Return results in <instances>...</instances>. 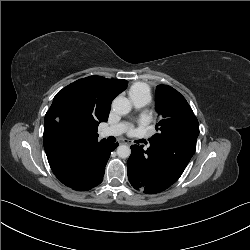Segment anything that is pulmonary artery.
<instances>
[{"label":"pulmonary artery","instance_id":"e3ab8cb5","mask_svg":"<svg viewBox=\"0 0 250 250\" xmlns=\"http://www.w3.org/2000/svg\"><path fill=\"white\" fill-rule=\"evenodd\" d=\"M132 103L136 108L143 107L147 104V101L144 99H135L132 100ZM126 130V125L124 123H118L109 127L104 128L101 131L102 137H109V136H119L124 133Z\"/></svg>","mask_w":250,"mask_h":250}]
</instances>
